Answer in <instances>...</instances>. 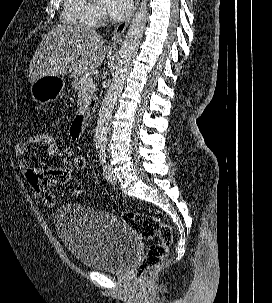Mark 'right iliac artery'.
<instances>
[{
	"label": "right iliac artery",
	"mask_w": 272,
	"mask_h": 303,
	"mask_svg": "<svg viewBox=\"0 0 272 303\" xmlns=\"http://www.w3.org/2000/svg\"><path fill=\"white\" fill-rule=\"evenodd\" d=\"M96 148H97V149L100 148V145H97Z\"/></svg>",
	"instance_id": "82829eb1"
}]
</instances>
